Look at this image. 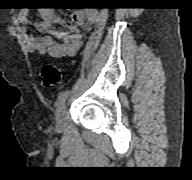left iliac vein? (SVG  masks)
I'll use <instances>...</instances> for the list:
<instances>
[{
    "mask_svg": "<svg viewBox=\"0 0 192 180\" xmlns=\"http://www.w3.org/2000/svg\"><path fill=\"white\" fill-rule=\"evenodd\" d=\"M66 115H67V109L66 105L63 104L57 114H56V128L58 130H62L65 127L66 124Z\"/></svg>",
    "mask_w": 192,
    "mask_h": 180,
    "instance_id": "4c4485c4",
    "label": "left iliac vein"
}]
</instances>
